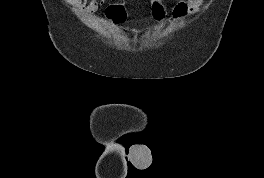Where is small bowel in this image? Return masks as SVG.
I'll return each instance as SVG.
<instances>
[{
  "mask_svg": "<svg viewBox=\"0 0 264 178\" xmlns=\"http://www.w3.org/2000/svg\"><path fill=\"white\" fill-rule=\"evenodd\" d=\"M204 0H177L168 14L170 23L177 22L195 13ZM74 4L80 7L85 13L92 14L99 8H106V0H73Z\"/></svg>",
  "mask_w": 264,
  "mask_h": 178,
  "instance_id": "obj_1",
  "label": "small bowel"
}]
</instances>
